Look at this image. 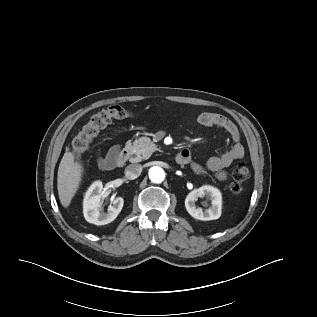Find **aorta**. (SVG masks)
Here are the masks:
<instances>
[{
  "mask_svg": "<svg viewBox=\"0 0 317 317\" xmlns=\"http://www.w3.org/2000/svg\"><path fill=\"white\" fill-rule=\"evenodd\" d=\"M149 178L153 183H161L165 178V172L161 167L153 166L149 170Z\"/></svg>",
  "mask_w": 317,
  "mask_h": 317,
  "instance_id": "obj_1",
  "label": "aorta"
}]
</instances>
